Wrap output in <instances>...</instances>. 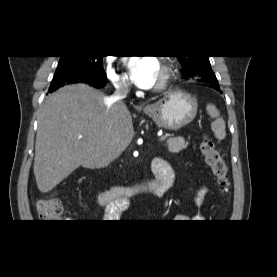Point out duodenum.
Segmentation results:
<instances>
[{
  "label": "duodenum",
  "mask_w": 277,
  "mask_h": 277,
  "mask_svg": "<svg viewBox=\"0 0 277 277\" xmlns=\"http://www.w3.org/2000/svg\"><path fill=\"white\" fill-rule=\"evenodd\" d=\"M154 162L158 165L159 176L157 180H145L138 184L125 187H116L113 189L99 190L97 197L98 203L101 206H112L114 213H118L122 209H125L128 205L129 199L140 193L160 195L161 185L163 183H171V169L169 165L162 159L156 158Z\"/></svg>",
  "instance_id": "obj_1"
}]
</instances>
